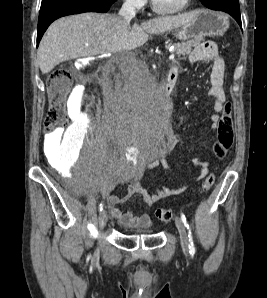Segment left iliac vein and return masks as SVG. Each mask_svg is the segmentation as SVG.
<instances>
[{
	"instance_id": "1",
	"label": "left iliac vein",
	"mask_w": 267,
	"mask_h": 298,
	"mask_svg": "<svg viewBox=\"0 0 267 298\" xmlns=\"http://www.w3.org/2000/svg\"><path fill=\"white\" fill-rule=\"evenodd\" d=\"M175 224L179 231L181 247L185 253H188L189 241H188L185 225H184L182 219L179 217L175 218Z\"/></svg>"
}]
</instances>
